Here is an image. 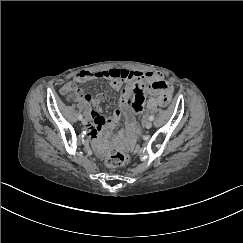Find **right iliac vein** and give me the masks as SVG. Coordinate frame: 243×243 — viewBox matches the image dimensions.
Returning a JSON list of instances; mask_svg holds the SVG:
<instances>
[{
	"label": "right iliac vein",
	"mask_w": 243,
	"mask_h": 243,
	"mask_svg": "<svg viewBox=\"0 0 243 243\" xmlns=\"http://www.w3.org/2000/svg\"><path fill=\"white\" fill-rule=\"evenodd\" d=\"M87 120L86 119H82V124L85 126V125H87Z\"/></svg>",
	"instance_id": "63e3f726"
}]
</instances>
